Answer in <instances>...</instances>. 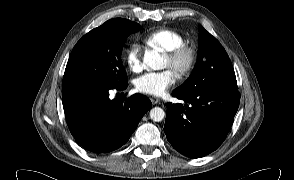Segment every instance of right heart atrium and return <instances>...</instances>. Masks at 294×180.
<instances>
[{
	"instance_id": "obj_1",
	"label": "right heart atrium",
	"mask_w": 294,
	"mask_h": 180,
	"mask_svg": "<svg viewBox=\"0 0 294 180\" xmlns=\"http://www.w3.org/2000/svg\"><path fill=\"white\" fill-rule=\"evenodd\" d=\"M124 60L132 72H139L143 67L142 47L137 42H132L123 53Z\"/></svg>"
}]
</instances>
